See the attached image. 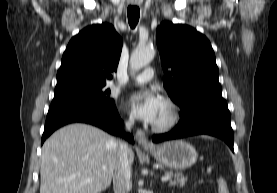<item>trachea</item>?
<instances>
[{
  "label": "trachea",
  "mask_w": 277,
  "mask_h": 193,
  "mask_svg": "<svg viewBox=\"0 0 277 193\" xmlns=\"http://www.w3.org/2000/svg\"><path fill=\"white\" fill-rule=\"evenodd\" d=\"M128 22L132 29H134L139 21L140 10L136 6H130L127 9Z\"/></svg>",
  "instance_id": "obj_1"
}]
</instances>
